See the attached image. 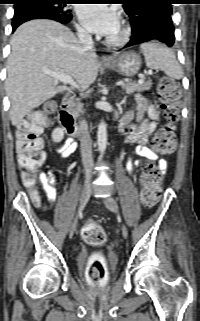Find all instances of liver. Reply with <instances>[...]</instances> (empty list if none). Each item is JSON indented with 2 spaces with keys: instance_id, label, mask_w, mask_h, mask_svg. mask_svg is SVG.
Listing matches in <instances>:
<instances>
[{
  "instance_id": "obj_1",
  "label": "liver",
  "mask_w": 200,
  "mask_h": 321,
  "mask_svg": "<svg viewBox=\"0 0 200 321\" xmlns=\"http://www.w3.org/2000/svg\"><path fill=\"white\" fill-rule=\"evenodd\" d=\"M44 70L67 74L85 90L96 80L99 63L95 52L85 50L60 23L38 19L22 24L11 37L7 60L6 92L12 125H19L29 112L57 93L71 92Z\"/></svg>"
}]
</instances>
